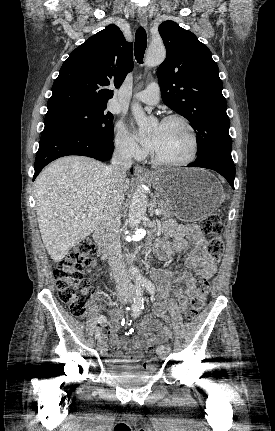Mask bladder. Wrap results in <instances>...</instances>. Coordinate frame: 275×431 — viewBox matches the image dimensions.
<instances>
[{"mask_svg":"<svg viewBox=\"0 0 275 431\" xmlns=\"http://www.w3.org/2000/svg\"><path fill=\"white\" fill-rule=\"evenodd\" d=\"M109 376L119 384L130 380L146 381L153 373L135 363H121V361L105 360Z\"/></svg>","mask_w":275,"mask_h":431,"instance_id":"31cf9c89","label":"bladder"}]
</instances>
